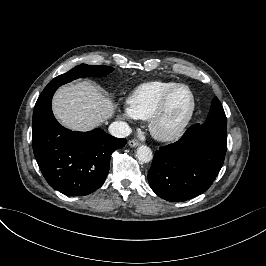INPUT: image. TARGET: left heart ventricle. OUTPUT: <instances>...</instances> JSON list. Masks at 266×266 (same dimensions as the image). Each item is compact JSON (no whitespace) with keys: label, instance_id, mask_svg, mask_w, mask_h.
<instances>
[{"label":"left heart ventricle","instance_id":"1","mask_svg":"<svg viewBox=\"0 0 266 266\" xmlns=\"http://www.w3.org/2000/svg\"><path fill=\"white\" fill-rule=\"evenodd\" d=\"M192 109V98L189 90L180 87L170 98L167 107L156 123L159 131L170 133L178 129L187 119Z\"/></svg>","mask_w":266,"mask_h":266}]
</instances>
